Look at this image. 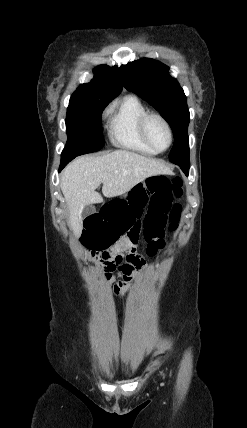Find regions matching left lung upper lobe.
I'll return each mask as SVG.
<instances>
[{
  "instance_id": "obj_1",
  "label": "left lung upper lobe",
  "mask_w": 247,
  "mask_h": 428,
  "mask_svg": "<svg viewBox=\"0 0 247 428\" xmlns=\"http://www.w3.org/2000/svg\"><path fill=\"white\" fill-rule=\"evenodd\" d=\"M124 87L148 101L165 118L174 134L169 155L172 163H189L188 124L190 114L186 96L167 66L150 58L122 65L119 68Z\"/></svg>"
}]
</instances>
